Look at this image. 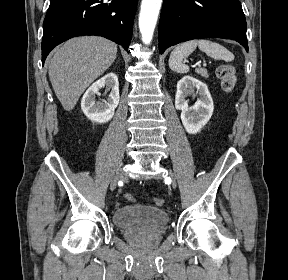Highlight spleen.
<instances>
[{"instance_id": "1", "label": "spleen", "mask_w": 288, "mask_h": 280, "mask_svg": "<svg viewBox=\"0 0 288 280\" xmlns=\"http://www.w3.org/2000/svg\"><path fill=\"white\" fill-rule=\"evenodd\" d=\"M199 47L208 56L216 60H224L230 62L234 60V55L219 43L207 40H190L176 46L169 57V67L177 73H187L189 66L183 63V59L187 58L195 49Z\"/></svg>"}]
</instances>
